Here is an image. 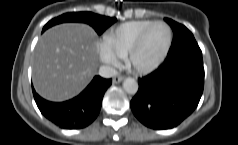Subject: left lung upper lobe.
<instances>
[{
  "mask_svg": "<svg viewBox=\"0 0 238 145\" xmlns=\"http://www.w3.org/2000/svg\"><path fill=\"white\" fill-rule=\"evenodd\" d=\"M165 21L171 26V24L174 22L171 19L165 18ZM197 43L193 34L187 29L186 31V36L184 38H179L176 39L174 37L173 42L171 44V48L169 50V53L174 52L176 50H178L179 48L188 45V44H195Z\"/></svg>",
  "mask_w": 238,
  "mask_h": 145,
  "instance_id": "left-lung-upper-lobe-1",
  "label": "left lung upper lobe"
}]
</instances>
